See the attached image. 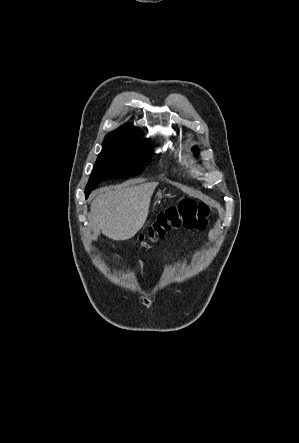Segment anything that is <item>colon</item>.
I'll return each instance as SVG.
<instances>
[{
  "instance_id": "colon-1",
  "label": "colon",
  "mask_w": 299,
  "mask_h": 443,
  "mask_svg": "<svg viewBox=\"0 0 299 443\" xmlns=\"http://www.w3.org/2000/svg\"><path fill=\"white\" fill-rule=\"evenodd\" d=\"M210 212L211 208L206 203L182 200L159 213L156 220L139 234L138 240L142 243L153 242L173 229H202L208 223Z\"/></svg>"
}]
</instances>
